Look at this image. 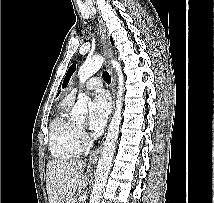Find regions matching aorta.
Listing matches in <instances>:
<instances>
[{
	"label": "aorta",
	"mask_w": 214,
	"mask_h": 203,
	"mask_svg": "<svg viewBox=\"0 0 214 203\" xmlns=\"http://www.w3.org/2000/svg\"><path fill=\"white\" fill-rule=\"evenodd\" d=\"M104 63V58L101 56H94L87 60L78 70L80 83H85L91 76H93ZM111 64L118 75V93L116 100V108L109 125L108 133L104 143L101 157L98 160L93 191L90 197V203H100L104 187L106 185L107 177L110 171L112 158L114 154L115 144L119 134V127L121 123L122 111V96L124 92V76L122 74V67L116 60H111ZM90 98L85 93H79L77 103L74 105L70 117L74 121H82L88 112L87 104Z\"/></svg>",
	"instance_id": "762f6f07"
}]
</instances>
